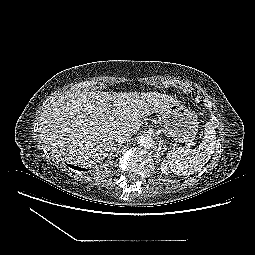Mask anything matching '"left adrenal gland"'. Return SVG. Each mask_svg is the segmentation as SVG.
I'll list each match as a JSON object with an SVG mask.
<instances>
[{"instance_id":"left-adrenal-gland-1","label":"left adrenal gland","mask_w":255,"mask_h":255,"mask_svg":"<svg viewBox=\"0 0 255 255\" xmlns=\"http://www.w3.org/2000/svg\"><path fill=\"white\" fill-rule=\"evenodd\" d=\"M161 149L166 150V144H165V142H164L162 139H160V141H159V148H158L157 157H158L159 154L161 153V152H159Z\"/></svg>"}]
</instances>
